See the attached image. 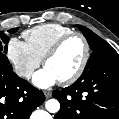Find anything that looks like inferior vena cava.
Returning a JSON list of instances; mask_svg holds the SVG:
<instances>
[{
  "mask_svg": "<svg viewBox=\"0 0 119 119\" xmlns=\"http://www.w3.org/2000/svg\"><path fill=\"white\" fill-rule=\"evenodd\" d=\"M19 75L30 78V76L32 75V71H29V70L21 71V72H19Z\"/></svg>",
  "mask_w": 119,
  "mask_h": 119,
  "instance_id": "inferior-vena-cava-1",
  "label": "inferior vena cava"
}]
</instances>
